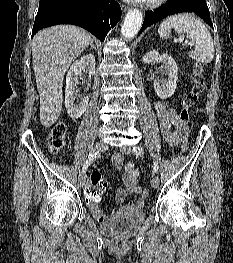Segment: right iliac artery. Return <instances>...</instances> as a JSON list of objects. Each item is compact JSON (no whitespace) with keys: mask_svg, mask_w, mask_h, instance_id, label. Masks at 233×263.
Segmentation results:
<instances>
[{"mask_svg":"<svg viewBox=\"0 0 233 263\" xmlns=\"http://www.w3.org/2000/svg\"><path fill=\"white\" fill-rule=\"evenodd\" d=\"M97 157V153L93 152V153H90L89 156H88V159L86 160V162L84 163V166H83V169H82V172L85 173L88 169V167L90 166V164L93 162V160Z\"/></svg>","mask_w":233,"mask_h":263,"instance_id":"obj_1","label":"right iliac artery"}]
</instances>
